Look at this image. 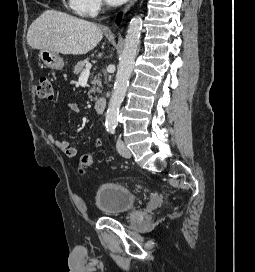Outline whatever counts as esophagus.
<instances>
[{
	"label": "esophagus",
	"instance_id": "esophagus-1",
	"mask_svg": "<svg viewBox=\"0 0 255 272\" xmlns=\"http://www.w3.org/2000/svg\"><path fill=\"white\" fill-rule=\"evenodd\" d=\"M137 0H130L129 3L125 6L124 11H128Z\"/></svg>",
	"mask_w": 255,
	"mask_h": 272
}]
</instances>
